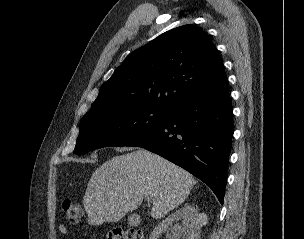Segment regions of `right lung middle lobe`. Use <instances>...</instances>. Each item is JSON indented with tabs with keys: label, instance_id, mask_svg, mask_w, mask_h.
Returning <instances> with one entry per match:
<instances>
[{
	"label": "right lung middle lobe",
	"instance_id": "right-lung-middle-lobe-1",
	"mask_svg": "<svg viewBox=\"0 0 304 239\" xmlns=\"http://www.w3.org/2000/svg\"><path fill=\"white\" fill-rule=\"evenodd\" d=\"M167 112L166 109L137 106L84 117L80 121L74 154L82 155L102 147L126 146L161 125Z\"/></svg>",
	"mask_w": 304,
	"mask_h": 239
}]
</instances>
